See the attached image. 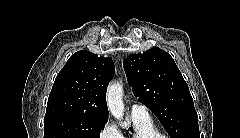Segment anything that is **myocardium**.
<instances>
[{"label": "myocardium", "mask_w": 240, "mask_h": 138, "mask_svg": "<svg viewBox=\"0 0 240 138\" xmlns=\"http://www.w3.org/2000/svg\"><path fill=\"white\" fill-rule=\"evenodd\" d=\"M151 138H161V137H159L158 135H154V136L151 137Z\"/></svg>", "instance_id": "obj_1"}]
</instances>
